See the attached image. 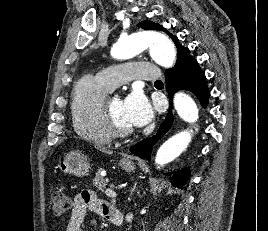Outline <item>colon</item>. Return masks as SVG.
<instances>
[{
    "label": "colon",
    "instance_id": "5ec220e1",
    "mask_svg": "<svg viewBox=\"0 0 268 231\" xmlns=\"http://www.w3.org/2000/svg\"><path fill=\"white\" fill-rule=\"evenodd\" d=\"M53 210L55 213H63L69 210L70 201L67 195L61 191L52 194Z\"/></svg>",
    "mask_w": 268,
    "mask_h": 231
}]
</instances>
